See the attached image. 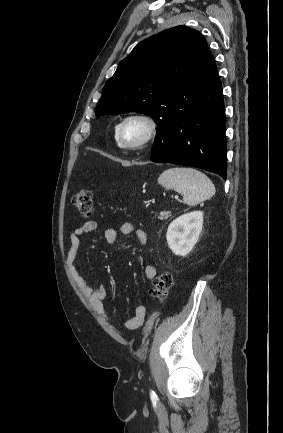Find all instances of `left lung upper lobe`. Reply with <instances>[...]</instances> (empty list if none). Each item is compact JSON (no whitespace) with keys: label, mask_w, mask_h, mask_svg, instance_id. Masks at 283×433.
Instances as JSON below:
<instances>
[{"label":"left lung upper lobe","mask_w":283,"mask_h":433,"mask_svg":"<svg viewBox=\"0 0 283 433\" xmlns=\"http://www.w3.org/2000/svg\"><path fill=\"white\" fill-rule=\"evenodd\" d=\"M210 57L203 36L186 26L141 41L106 82L96 116L136 111L158 128L171 125L195 107L197 79Z\"/></svg>","instance_id":"obj_1"}]
</instances>
